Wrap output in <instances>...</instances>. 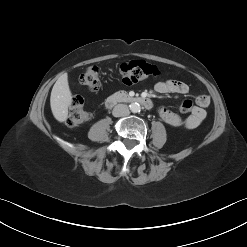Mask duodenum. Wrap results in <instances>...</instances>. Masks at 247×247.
Returning a JSON list of instances; mask_svg holds the SVG:
<instances>
[{
    "mask_svg": "<svg viewBox=\"0 0 247 247\" xmlns=\"http://www.w3.org/2000/svg\"><path fill=\"white\" fill-rule=\"evenodd\" d=\"M120 102H127V103H138L141 104L142 106L146 108H151L152 107V102L151 100L143 97H133V96H128L124 93H115L111 96H109L106 100V106L112 107Z\"/></svg>",
    "mask_w": 247,
    "mask_h": 247,
    "instance_id": "410a0bca",
    "label": "duodenum"
}]
</instances>
